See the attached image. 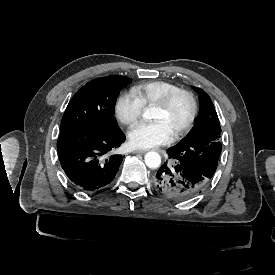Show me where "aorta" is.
<instances>
[{
  "mask_svg": "<svg viewBox=\"0 0 275 275\" xmlns=\"http://www.w3.org/2000/svg\"><path fill=\"white\" fill-rule=\"evenodd\" d=\"M153 110H154V108H149V107L144 108V110L142 112V118L144 120L152 119L153 118ZM144 161H145L146 166L150 169H157L161 166V157L156 152H148L144 156Z\"/></svg>",
  "mask_w": 275,
  "mask_h": 275,
  "instance_id": "aorta-1",
  "label": "aorta"
}]
</instances>
